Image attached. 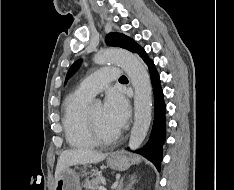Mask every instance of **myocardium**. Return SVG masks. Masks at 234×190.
Instances as JSON below:
<instances>
[{"label":"myocardium","instance_id":"myocardium-1","mask_svg":"<svg viewBox=\"0 0 234 190\" xmlns=\"http://www.w3.org/2000/svg\"><path fill=\"white\" fill-rule=\"evenodd\" d=\"M86 121L90 130L91 135L98 143H111L118 139L120 136V131L117 130L114 133L106 134L100 130L93 117L90 114V111H86L85 113Z\"/></svg>","mask_w":234,"mask_h":190}]
</instances>
